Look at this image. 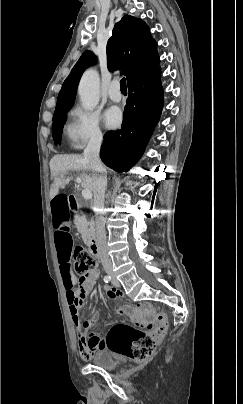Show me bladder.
Here are the masks:
<instances>
[{"instance_id": "bladder-1", "label": "bladder", "mask_w": 243, "mask_h": 404, "mask_svg": "<svg viewBox=\"0 0 243 404\" xmlns=\"http://www.w3.org/2000/svg\"><path fill=\"white\" fill-rule=\"evenodd\" d=\"M92 363L104 370H114L118 366L112 352L107 349L97 351L92 357Z\"/></svg>"}]
</instances>
